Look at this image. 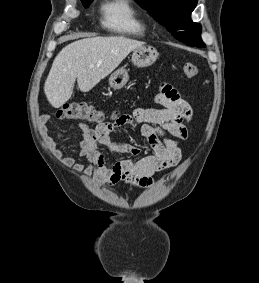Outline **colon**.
I'll return each instance as SVG.
<instances>
[{
    "label": "colon",
    "instance_id": "colon-1",
    "mask_svg": "<svg viewBox=\"0 0 259 283\" xmlns=\"http://www.w3.org/2000/svg\"><path fill=\"white\" fill-rule=\"evenodd\" d=\"M182 71L186 77L193 78L198 74V67L191 62H186L182 65ZM56 116L60 119L86 120L96 123L106 120V116L101 110L82 102L63 105L56 112Z\"/></svg>",
    "mask_w": 259,
    "mask_h": 283
}]
</instances>
